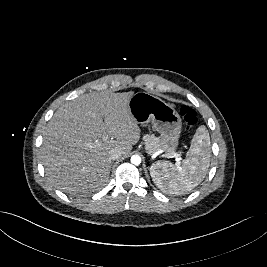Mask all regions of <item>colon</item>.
Segmentation results:
<instances>
[{"instance_id": "5ec220e1", "label": "colon", "mask_w": 267, "mask_h": 267, "mask_svg": "<svg viewBox=\"0 0 267 267\" xmlns=\"http://www.w3.org/2000/svg\"><path fill=\"white\" fill-rule=\"evenodd\" d=\"M180 114L186 124L187 129L192 128L197 123V113L194 109L188 106L180 108Z\"/></svg>"}]
</instances>
